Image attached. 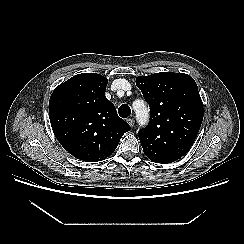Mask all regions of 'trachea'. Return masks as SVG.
<instances>
[{"instance_id": "obj_1", "label": "trachea", "mask_w": 244, "mask_h": 244, "mask_svg": "<svg viewBox=\"0 0 244 244\" xmlns=\"http://www.w3.org/2000/svg\"><path fill=\"white\" fill-rule=\"evenodd\" d=\"M119 116L122 118H127L131 114V109L127 104H122L118 109Z\"/></svg>"}]
</instances>
